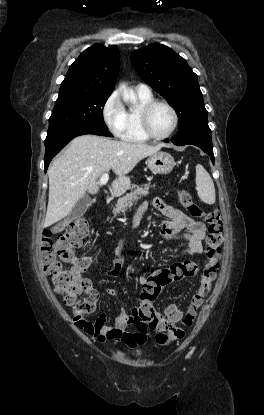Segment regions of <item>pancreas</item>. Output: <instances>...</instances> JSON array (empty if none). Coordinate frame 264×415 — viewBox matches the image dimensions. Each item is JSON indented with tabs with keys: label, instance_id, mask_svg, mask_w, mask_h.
<instances>
[{
	"label": "pancreas",
	"instance_id": "obj_1",
	"mask_svg": "<svg viewBox=\"0 0 264 415\" xmlns=\"http://www.w3.org/2000/svg\"><path fill=\"white\" fill-rule=\"evenodd\" d=\"M150 184L137 187L134 191L126 194L124 197L117 201V204L113 208V214L116 216L120 213H125L128 208H131L134 202H137L141 196H146L149 193Z\"/></svg>",
	"mask_w": 264,
	"mask_h": 415
}]
</instances>
